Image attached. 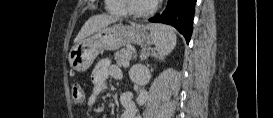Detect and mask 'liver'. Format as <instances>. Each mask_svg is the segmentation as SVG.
Segmentation results:
<instances>
[{"label":"liver","mask_w":273,"mask_h":118,"mask_svg":"<svg viewBox=\"0 0 273 118\" xmlns=\"http://www.w3.org/2000/svg\"><path fill=\"white\" fill-rule=\"evenodd\" d=\"M116 21H117V18L107 14L92 16L82 26L81 30L79 31L78 35L76 36L74 40V43L76 44L83 38L95 33L99 29L105 26H108L109 24L114 23Z\"/></svg>","instance_id":"6515ba94"}]
</instances>
